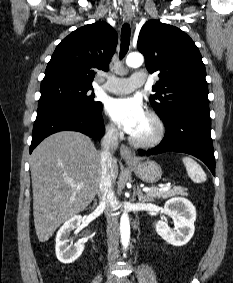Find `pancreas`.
Here are the masks:
<instances>
[{
    "label": "pancreas",
    "mask_w": 233,
    "mask_h": 283,
    "mask_svg": "<svg viewBox=\"0 0 233 283\" xmlns=\"http://www.w3.org/2000/svg\"><path fill=\"white\" fill-rule=\"evenodd\" d=\"M153 189H155V187H153ZM176 195L187 196L188 193L186 192V189L181 188V187H177L175 189L168 190V191H154L153 190L147 193V197H149L150 201H152L154 198L167 199L170 197H174Z\"/></svg>",
    "instance_id": "pancreas-1"
}]
</instances>
